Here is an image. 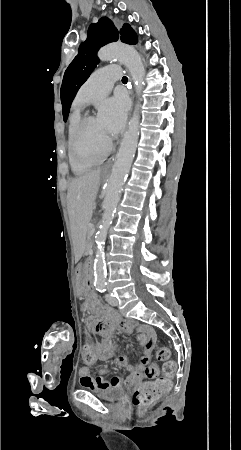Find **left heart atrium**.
<instances>
[{
	"instance_id": "left-heart-atrium-1",
	"label": "left heart atrium",
	"mask_w": 241,
	"mask_h": 450,
	"mask_svg": "<svg viewBox=\"0 0 241 450\" xmlns=\"http://www.w3.org/2000/svg\"><path fill=\"white\" fill-rule=\"evenodd\" d=\"M106 105L112 115L109 128L114 135H117L123 130L126 123L129 109L128 99L124 96H119L108 101Z\"/></svg>"
}]
</instances>
